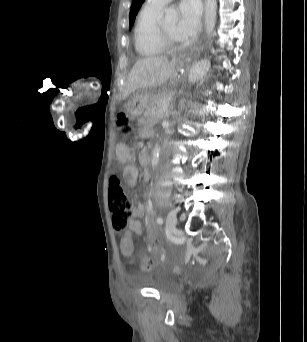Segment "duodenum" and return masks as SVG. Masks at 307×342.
Segmentation results:
<instances>
[{"mask_svg": "<svg viewBox=\"0 0 307 342\" xmlns=\"http://www.w3.org/2000/svg\"><path fill=\"white\" fill-rule=\"evenodd\" d=\"M149 162H150L149 156H148V154L146 153V156L142 157L141 163H142V165H143L144 167H147V166L149 165Z\"/></svg>", "mask_w": 307, "mask_h": 342, "instance_id": "410a0bca", "label": "duodenum"}]
</instances>
